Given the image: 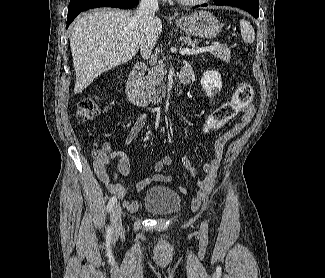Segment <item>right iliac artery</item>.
<instances>
[{
    "instance_id": "82829eb1",
    "label": "right iliac artery",
    "mask_w": 325,
    "mask_h": 278,
    "mask_svg": "<svg viewBox=\"0 0 325 278\" xmlns=\"http://www.w3.org/2000/svg\"><path fill=\"white\" fill-rule=\"evenodd\" d=\"M115 202H116V197L115 196L111 197L110 200H109V202H108V205H107V210L108 211H110L112 209V207L114 206ZM111 232H112V228H111V226H108L107 233L108 234H111Z\"/></svg>"
}]
</instances>
